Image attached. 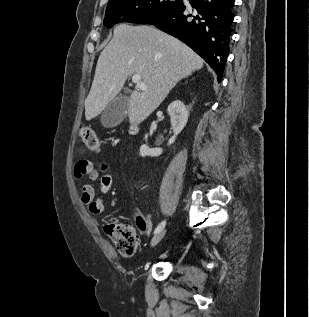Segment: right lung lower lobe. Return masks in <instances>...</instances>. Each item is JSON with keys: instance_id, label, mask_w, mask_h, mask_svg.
<instances>
[{"instance_id": "right-lung-lower-lobe-1", "label": "right lung lower lobe", "mask_w": 309, "mask_h": 317, "mask_svg": "<svg viewBox=\"0 0 309 317\" xmlns=\"http://www.w3.org/2000/svg\"><path fill=\"white\" fill-rule=\"evenodd\" d=\"M147 16L136 23L152 24L178 38L199 54L222 80L232 35L234 0H190Z\"/></svg>"}]
</instances>
